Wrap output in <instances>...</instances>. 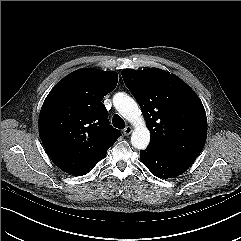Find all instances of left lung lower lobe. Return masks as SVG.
Returning <instances> with one entry per match:
<instances>
[{"mask_svg":"<svg viewBox=\"0 0 241 241\" xmlns=\"http://www.w3.org/2000/svg\"><path fill=\"white\" fill-rule=\"evenodd\" d=\"M140 158L153 175L165 179L178 176L195 161L192 158L168 154L152 146H148L146 150L140 151Z\"/></svg>","mask_w":241,"mask_h":241,"instance_id":"0a47b994","label":"left lung lower lobe"}]
</instances>
